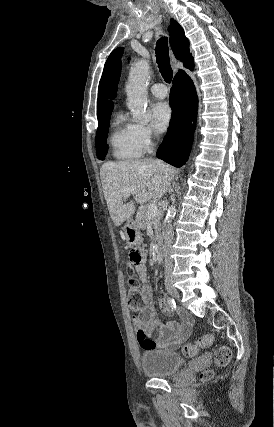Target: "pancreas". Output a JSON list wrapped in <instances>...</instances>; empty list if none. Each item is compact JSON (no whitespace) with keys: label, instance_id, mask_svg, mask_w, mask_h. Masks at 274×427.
<instances>
[{"label":"pancreas","instance_id":"1","mask_svg":"<svg viewBox=\"0 0 274 427\" xmlns=\"http://www.w3.org/2000/svg\"><path fill=\"white\" fill-rule=\"evenodd\" d=\"M147 208L148 206H143V208H139L137 215H136V221H137V225L138 227H142V229H145V227H147V223H153L154 225V229H155V235H159L160 237V233H159V227L158 225H160V219L163 215V212H161V210H159V214L155 215V217H147L146 212H147Z\"/></svg>","mask_w":274,"mask_h":427}]
</instances>
